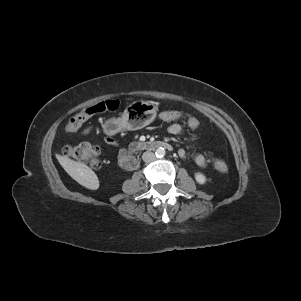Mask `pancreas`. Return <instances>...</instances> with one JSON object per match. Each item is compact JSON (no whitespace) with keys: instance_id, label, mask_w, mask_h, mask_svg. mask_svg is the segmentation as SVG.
<instances>
[{"instance_id":"pancreas-1","label":"pancreas","mask_w":301,"mask_h":301,"mask_svg":"<svg viewBox=\"0 0 301 301\" xmlns=\"http://www.w3.org/2000/svg\"><path fill=\"white\" fill-rule=\"evenodd\" d=\"M137 146H139V143H137V142H132V143L130 144V148H131V149H133L134 147H137Z\"/></svg>"}]
</instances>
